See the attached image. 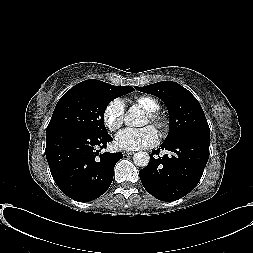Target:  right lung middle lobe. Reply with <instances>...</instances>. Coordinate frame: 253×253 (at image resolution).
I'll use <instances>...</instances> for the list:
<instances>
[{
    "label": "right lung middle lobe",
    "instance_id": "1",
    "mask_svg": "<svg viewBox=\"0 0 253 253\" xmlns=\"http://www.w3.org/2000/svg\"><path fill=\"white\" fill-rule=\"evenodd\" d=\"M132 91L133 87H119L102 81L78 83L58 101L46 135L68 129L94 134L107 132L103 117L108 104Z\"/></svg>",
    "mask_w": 253,
    "mask_h": 253
}]
</instances>
